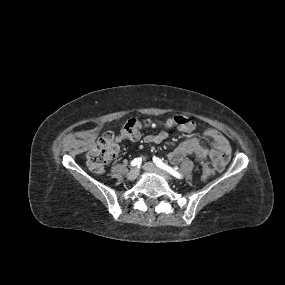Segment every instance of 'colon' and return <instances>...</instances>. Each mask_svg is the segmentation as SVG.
<instances>
[{"label":"colon","mask_w":285,"mask_h":285,"mask_svg":"<svg viewBox=\"0 0 285 285\" xmlns=\"http://www.w3.org/2000/svg\"><path fill=\"white\" fill-rule=\"evenodd\" d=\"M169 123L185 133H191L195 129L194 121L185 115H176L167 119L163 124ZM149 119H130L121 128L119 134L107 133L98 139L86 155L88 168L95 173H102L117 155L118 143L122 141H136L141 136V129L150 126ZM216 171L212 162H207L202 168V180L207 181Z\"/></svg>","instance_id":"obj_1"}]
</instances>
